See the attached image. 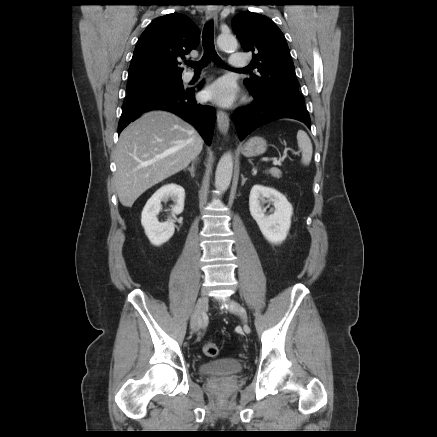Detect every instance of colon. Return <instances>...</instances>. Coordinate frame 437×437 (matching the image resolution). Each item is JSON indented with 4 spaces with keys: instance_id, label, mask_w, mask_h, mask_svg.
I'll return each instance as SVG.
<instances>
[{
    "instance_id": "colon-1",
    "label": "colon",
    "mask_w": 437,
    "mask_h": 437,
    "mask_svg": "<svg viewBox=\"0 0 437 437\" xmlns=\"http://www.w3.org/2000/svg\"><path fill=\"white\" fill-rule=\"evenodd\" d=\"M202 351L207 357H215L218 354V346L212 341H206L203 344Z\"/></svg>"
}]
</instances>
